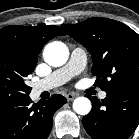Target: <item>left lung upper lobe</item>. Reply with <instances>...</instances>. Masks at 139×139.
Here are the masks:
<instances>
[{
	"label": "left lung upper lobe",
	"mask_w": 139,
	"mask_h": 139,
	"mask_svg": "<svg viewBox=\"0 0 139 139\" xmlns=\"http://www.w3.org/2000/svg\"><path fill=\"white\" fill-rule=\"evenodd\" d=\"M92 55V74L106 93L139 82V35L107 18L61 26Z\"/></svg>",
	"instance_id": "5c2ea615"
}]
</instances>
